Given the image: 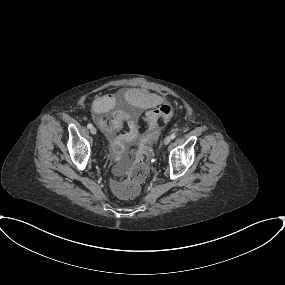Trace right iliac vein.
Returning <instances> with one entry per match:
<instances>
[{
	"instance_id": "1",
	"label": "right iliac vein",
	"mask_w": 285,
	"mask_h": 285,
	"mask_svg": "<svg viewBox=\"0 0 285 285\" xmlns=\"http://www.w3.org/2000/svg\"><path fill=\"white\" fill-rule=\"evenodd\" d=\"M90 131L93 135H95L97 133V130L94 126L91 127Z\"/></svg>"
}]
</instances>
